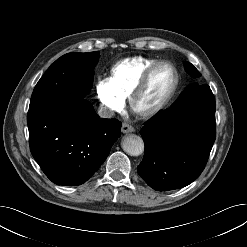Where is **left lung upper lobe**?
<instances>
[{"label":"left lung upper lobe","mask_w":247,"mask_h":247,"mask_svg":"<svg viewBox=\"0 0 247 247\" xmlns=\"http://www.w3.org/2000/svg\"><path fill=\"white\" fill-rule=\"evenodd\" d=\"M185 69L186 71L194 78H198L201 76V74L198 72V70L189 62H185L184 63ZM198 86V84H192L190 86H188L184 92L181 94L180 97L186 95L188 92H190L191 90H193L194 88H196Z\"/></svg>","instance_id":"left-lung-upper-lobe-1"}]
</instances>
